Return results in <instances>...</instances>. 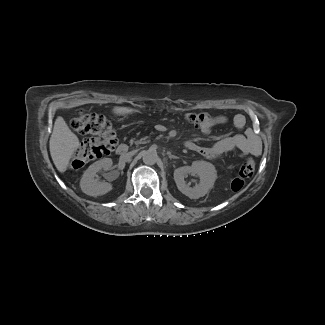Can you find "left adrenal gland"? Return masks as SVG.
Here are the masks:
<instances>
[{
	"instance_id": "a2214340",
	"label": "left adrenal gland",
	"mask_w": 325,
	"mask_h": 325,
	"mask_svg": "<svg viewBox=\"0 0 325 325\" xmlns=\"http://www.w3.org/2000/svg\"><path fill=\"white\" fill-rule=\"evenodd\" d=\"M167 154H168V157H169L170 159H178L177 156H174V155H172L171 153H167Z\"/></svg>"
}]
</instances>
